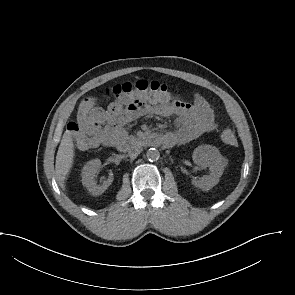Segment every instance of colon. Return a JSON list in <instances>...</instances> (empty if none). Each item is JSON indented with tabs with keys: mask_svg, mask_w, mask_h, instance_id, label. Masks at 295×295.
<instances>
[{
	"mask_svg": "<svg viewBox=\"0 0 295 295\" xmlns=\"http://www.w3.org/2000/svg\"><path fill=\"white\" fill-rule=\"evenodd\" d=\"M168 88L165 84L156 81L139 80L136 82H125L109 87L105 90V95L121 97L124 94L133 92H165ZM97 98L94 96L83 99L78 109L77 120L74 122L75 127L82 128L84 123L96 109ZM221 140L227 145H236L237 138L234 131L230 128H225L221 132Z\"/></svg>",
	"mask_w": 295,
	"mask_h": 295,
	"instance_id": "5ec220e1",
	"label": "colon"
}]
</instances>
